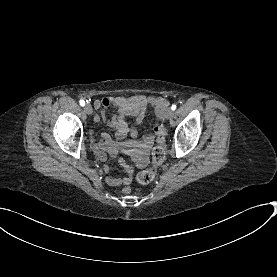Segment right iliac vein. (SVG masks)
<instances>
[{
	"label": "right iliac vein",
	"mask_w": 277,
	"mask_h": 277,
	"mask_svg": "<svg viewBox=\"0 0 277 277\" xmlns=\"http://www.w3.org/2000/svg\"><path fill=\"white\" fill-rule=\"evenodd\" d=\"M84 111H85V113L90 115L93 112V108H92V106L90 104H86L85 107H84Z\"/></svg>",
	"instance_id": "1"
}]
</instances>
